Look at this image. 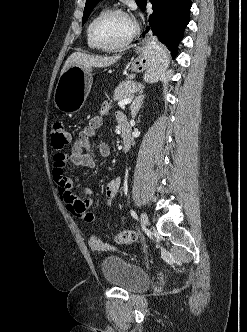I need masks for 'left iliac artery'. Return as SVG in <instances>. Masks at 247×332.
Here are the masks:
<instances>
[{"mask_svg":"<svg viewBox=\"0 0 247 332\" xmlns=\"http://www.w3.org/2000/svg\"><path fill=\"white\" fill-rule=\"evenodd\" d=\"M131 215L135 218L138 219V216L134 210H131Z\"/></svg>","mask_w":247,"mask_h":332,"instance_id":"left-iliac-artery-1","label":"left iliac artery"}]
</instances>
